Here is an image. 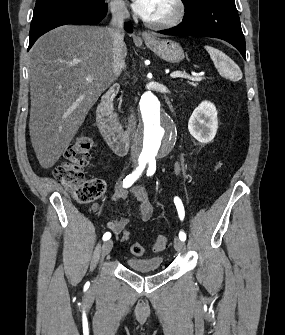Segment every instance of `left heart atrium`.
<instances>
[{
    "mask_svg": "<svg viewBox=\"0 0 285 335\" xmlns=\"http://www.w3.org/2000/svg\"><path fill=\"white\" fill-rule=\"evenodd\" d=\"M134 12L138 17L146 22L151 23L154 10H155V1H131Z\"/></svg>",
    "mask_w": 285,
    "mask_h": 335,
    "instance_id": "obj_1",
    "label": "left heart atrium"
}]
</instances>
